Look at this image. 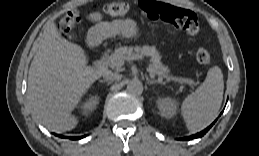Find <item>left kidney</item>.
I'll return each mask as SVG.
<instances>
[{"label": "left kidney", "instance_id": "obj_1", "mask_svg": "<svg viewBox=\"0 0 259 156\" xmlns=\"http://www.w3.org/2000/svg\"><path fill=\"white\" fill-rule=\"evenodd\" d=\"M157 107L162 117L170 119L177 113V100L171 97L158 98L156 101Z\"/></svg>", "mask_w": 259, "mask_h": 156}]
</instances>
